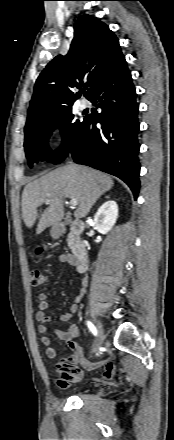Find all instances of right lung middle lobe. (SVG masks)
<instances>
[{"label":"right lung middle lobe","instance_id":"1","mask_svg":"<svg viewBox=\"0 0 174 440\" xmlns=\"http://www.w3.org/2000/svg\"><path fill=\"white\" fill-rule=\"evenodd\" d=\"M84 121H73L71 108L59 115L44 121L25 131V152L31 166L33 162L47 160L54 164L63 161L70 151V146L80 134ZM55 128L62 131L65 146L60 151L53 152L48 148V138Z\"/></svg>","mask_w":174,"mask_h":440}]
</instances>
